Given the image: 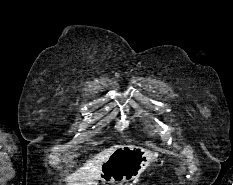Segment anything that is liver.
<instances>
[{"label": "liver", "instance_id": "obj_1", "mask_svg": "<svg viewBox=\"0 0 233 185\" xmlns=\"http://www.w3.org/2000/svg\"><path fill=\"white\" fill-rule=\"evenodd\" d=\"M119 147V145H114L89 159L82 167L66 178V185H96L100 178L102 164Z\"/></svg>", "mask_w": 233, "mask_h": 185}]
</instances>
